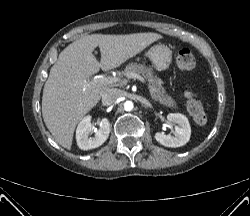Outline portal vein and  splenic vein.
Instances as JSON below:
<instances>
[{"instance_id": "1", "label": "portal vein and splenic vein", "mask_w": 250, "mask_h": 216, "mask_svg": "<svg viewBox=\"0 0 250 216\" xmlns=\"http://www.w3.org/2000/svg\"><path fill=\"white\" fill-rule=\"evenodd\" d=\"M129 78H132V79H137L138 81L144 83V84H147L145 79L136 74V73H131L128 75ZM124 83L125 81L124 80H120L118 77H96L94 80L92 81H89V82H85L84 83V87L86 86H94V87H100V86H106V85H111V84H115V83Z\"/></svg>"}]
</instances>
